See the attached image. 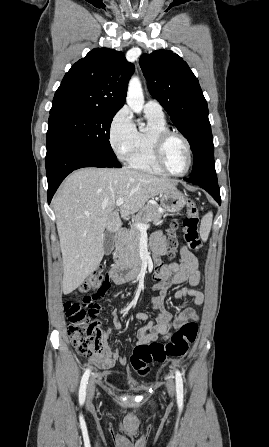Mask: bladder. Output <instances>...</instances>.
Listing matches in <instances>:
<instances>
[{
  "label": "bladder",
  "instance_id": "obj_1",
  "mask_svg": "<svg viewBox=\"0 0 269 447\" xmlns=\"http://www.w3.org/2000/svg\"><path fill=\"white\" fill-rule=\"evenodd\" d=\"M124 384L131 387L132 389L138 388L140 386L136 378L130 374L124 377Z\"/></svg>",
  "mask_w": 269,
  "mask_h": 447
}]
</instances>
